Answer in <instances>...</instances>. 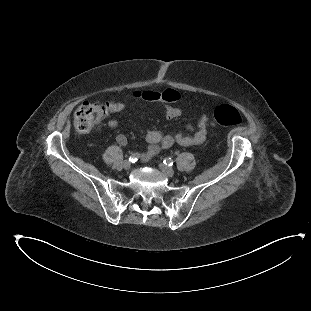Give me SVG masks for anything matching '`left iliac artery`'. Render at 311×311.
Here are the masks:
<instances>
[{
    "label": "left iliac artery",
    "instance_id": "44dca946",
    "mask_svg": "<svg viewBox=\"0 0 311 311\" xmlns=\"http://www.w3.org/2000/svg\"><path fill=\"white\" fill-rule=\"evenodd\" d=\"M163 163H164L165 165L172 166V165H173V163H174V161H173V159H172V158H170V157H166V158H164Z\"/></svg>",
    "mask_w": 311,
    "mask_h": 311
}]
</instances>
